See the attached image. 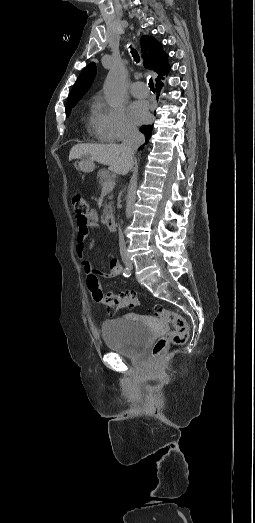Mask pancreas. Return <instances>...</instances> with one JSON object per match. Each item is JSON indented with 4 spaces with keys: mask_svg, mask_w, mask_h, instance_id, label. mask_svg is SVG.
Wrapping results in <instances>:
<instances>
[{
    "mask_svg": "<svg viewBox=\"0 0 255 523\" xmlns=\"http://www.w3.org/2000/svg\"><path fill=\"white\" fill-rule=\"evenodd\" d=\"M97 178H99V184L103 185L104 182H113V178L109 172V170H99L98 174H97ZM110 198H113V196H110ZM112 202L111 204H109V206H105L104 208V216H106V214H111L112 212Z\"/></svg>",
    "mask_w": 255,
    "mask_h": 523,
    "instance_id": "obj_1",
    "label": "pancreas"
}]
</instances>
